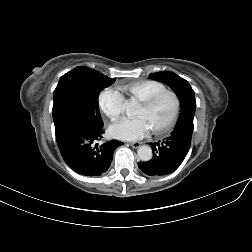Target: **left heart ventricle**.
<instances>
[{
  "label": "left heart ventricle",
  "instance_id": "b2bd125f",
  "mask_svg": "<svg viewBox=\"0 0 252 252\" xmlns=\"http://www.w3.org/2000/svg\"><path fill=\"white\" fill-rule=\"evenodd\" d=\"M175 101L172 95L161 96L152 106L144 107L140 105L135 113L136 117H142L149 130L163 128L172 116Z\"/></svg>",
  "mask_w": 252,
  "mask_h": 252
}]
</instances>
